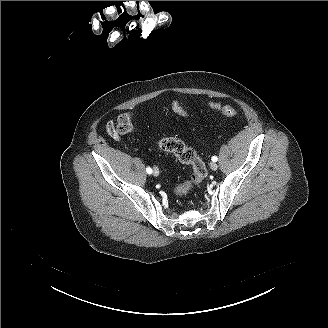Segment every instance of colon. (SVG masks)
Listing matches in <instances>:
<instances>
[{
    "instance_id": "obj_1",
    "label": "colon",
    "mask_w": 328,
    "mask_h": 328,
    "mask_svg": "<svg viewBox=\"0 0 328 328\" xmlns=\"http://www.w3.org/2000/svg\"><path fill=\"white\" fill-rule=\"evenodd\" d=\"M170 107L175 114L187 116L182 103L178 100L171 101ZM211 108L228 118H233L237 114L236 109L231 105L212 104ZM133 118L134 115L131 112L120 114L116 123L108 128V132L112 135L131 134L133 131ZM157 145L160 149L174 154L182 163L192 167L190 177L175 187L177 197L186 196L194 187L204 181L207 176L205 164L192 148L173 137L161 138L157 141Z\"/></svg>"
}]
</instances>
